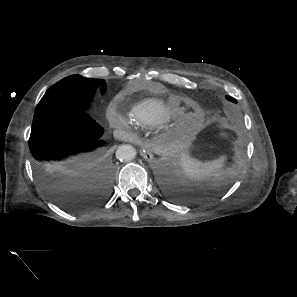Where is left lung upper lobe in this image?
Wrapping results in <instances>:
<instances>
[{"label":"left lung upper lobe","instance_id":"left-lung-upper-lobe-1","mask_svg":"<svg viewBox=\"0 0 297 297\" xmlns=\"http://www.w3.org/2000/svg\"><path fill=\"white\" fill-rule=\"evenodd\" d=\"M226 99L229 100V101H232V102H236V100L232 97H229V96H226Z\"/></svg>","mask_w":297,"mask_h":297}]
</instances>
